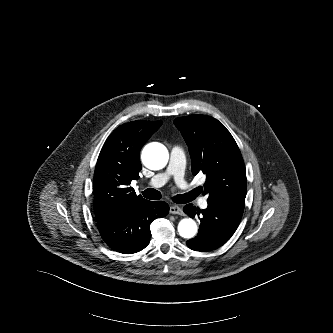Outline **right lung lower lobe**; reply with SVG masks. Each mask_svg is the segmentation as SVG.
Returning <instances> with one entry per match:
<instances>
[{"label":"right lung lower lobe","mask_w":333,"mask_h":333,"mask_svg":"<svg viewBox=\"0 0 333 333\" xmlns=\"http://www.w3.org/2000/svg\"><path fill=\"white\" fill-rule=\"evenodd\" d=\"M169 206L163 201L139 200L119 213L98 219L104 241L114 250L131 254L144 249L150 241V224L164 217Z\"/></svg>","instance_id":"1"}]
</instances>
